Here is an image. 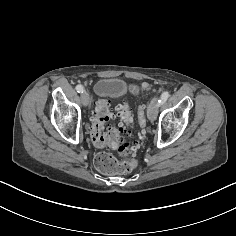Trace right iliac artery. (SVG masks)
Here are the masks:
<instances>
[{
	"mask_svg": "<svg viewBox=\"0 0 236 236\" xmlns=\"http://www.w3.org/2000/svg\"><path fill=\"white\" fill-rule=\"evenodd\" d=\"M76 90H77L78 93H83L84 88H83L82 85H77V86H76Z\"/></svg>",
	"mask_w": 236,
	"mask_h": 236,
	"instance_id": "82829eb1",
	"label": "right iliac artery"
}]
</instances>
